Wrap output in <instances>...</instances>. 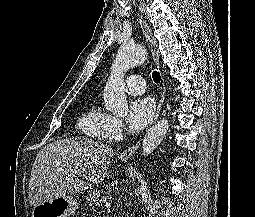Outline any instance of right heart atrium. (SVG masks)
Instances as JSON below:
<instances>
[{"instance_id": "right-heart-atrium-1", "label": "right heart atrium", "mask_w": 255, "mask_h": 217, "mask_svg": "<svg viewBox=\"0 0 255 217\" xmlns=\"http://www.w3.org/2000/svg\"><path fill=\"white\" fill-rule=\"evenodd\" d=\"M123 124L122 121L112 115H108L105 124V134L108 138L116 139L122 136Z\"/></svg>"}]
</instances>
